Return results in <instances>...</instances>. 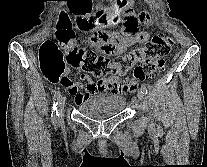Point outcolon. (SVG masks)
I'll return each mask as SVG.
<instances>
[{
	"mask_svg": "<svg viewBox=\"0 0 207 167\" xmlns=\"http://www.w3.org/2000/svg\"><path fill=\"white\" fill-rule=\"evenodd\" d=\"M56 40L65 49V58L54 41H46L40 50L39 67L51 82H58L63 74L64 59L73 66L81 67L94 77H103L116 65L121 72L132 70V79L139 82L154 77L165 65L164 57L171 47V39L165 35L154 36L146 45L138 47L123 57L111 61L94 51L78 47L69 16L61 13L57 21Z\"/></svg>",
	"mask_w": 207,
	"mask_h": 167,
	"instance_id": "colon-1",
	"label": "colon"
}]
</instances>
